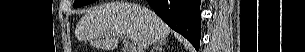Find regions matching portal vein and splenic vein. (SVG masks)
<instances>
[{"instance_id":"obj_1","label":"portal vein and splenic vein","mask_w":305,"mask_h":52,"mask_svg":"<svg viewBox=\"0 0 305 52\" xmlns=\"http://www.w3.org/2000/svg\"><path fill=\"white\" fill-rule=\"evenodd\" d=\"M123 42L129 52H134L135 46L132 43H129L126 37L123 38Z\"/></svg>"}]
</instances>
